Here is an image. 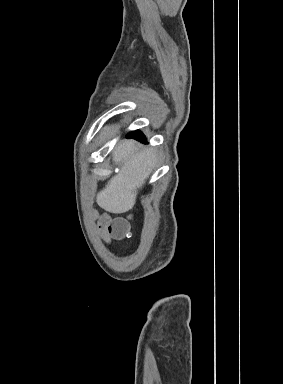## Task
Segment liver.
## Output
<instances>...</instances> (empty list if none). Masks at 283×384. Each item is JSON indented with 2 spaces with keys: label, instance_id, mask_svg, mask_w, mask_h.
<instances>
[{
  "label": "liver",
  "instance_id": "obj_1",
  "mask_svg": "<svg viewBox=\"0 0 283 384\" xmlns=\"http://www.w3.org/2000/svg\"><path fill=\"white\" fill-rule=\"evenodd\" d=\"M134 140H127L116 148L113 162L120 164V172L109 180L97 194L100 208L111 214H123L136 204L137 190L145 184L156 166V156L150 148L137 150Z\"/></svg>",
  "mask_w": 283,
  "mask_h": 384
}]
</instances>
